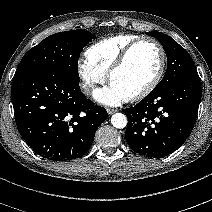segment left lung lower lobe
I'll return each instance as SVG.
<instances>
[{"instance_id":"1","label":"left lung lower lobe","mask_w":212,"mask_h":212,"mask_svg":"<svg viewBox=\"0 0 212 212\" xmlns=\"http://www.w3.org/2000/svg\"><path fill=\"white\" fill-rule=\"evenodd\" d=\"M201 100L197 73L154 89L134 107L128 117L125 138L136 153L161 158L177 150L190 135Z\"/></svg>"}]
</instances>
